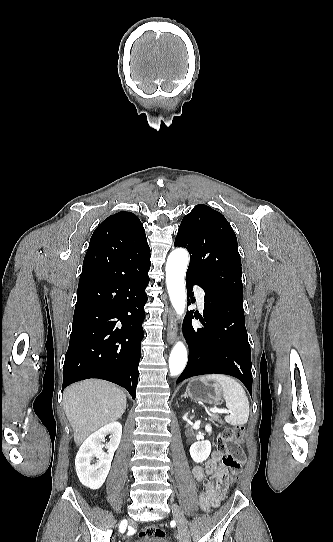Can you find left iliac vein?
<instances>
[{
    "mask_svg": "<svg viewBox=\"0 0 333 542\" xmlns=\"http://www.w3.org/2000/svg\"><path fill=\"white\" fill-rule=\"evenodd\" d=\"M170 508L174 516V520L177 523L179 541L191 542L190 533H189L187 522H186L182 509L178 505L173 504V503L170 504Z\"/></svg>",
    "mask_w": 333,
    "mask_h": 542,
    "instance_id": "1",
    "label": "left iliac vein"
}]
</instances>
